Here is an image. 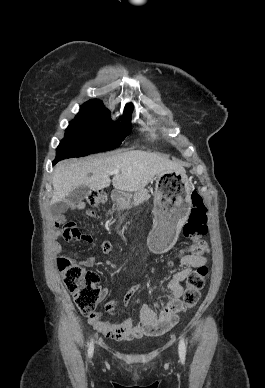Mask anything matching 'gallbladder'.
Returning a JSON list of instances; mask_svg holds the SVG:
<instances>
[{"label":"gallbladder","instance_id":"obj_1","mask_svg":"<svg viewBox=\"0 0 265 388\" xmlns=\"http://www.w3.org/2000/svg\"><path fill=\"white\" fill-rule=\"evenodd\" d=\"M89 192L90 190L87 186H78V188H75V190L69 194L67 202H69V204H74V206L75 204H80V202L88 196Z\"/></svg>","mask_w":265,"mask_h":388}]
</instances>
